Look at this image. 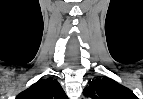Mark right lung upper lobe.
I'll return each mask as SVG.
<instances>
[{
  "instance_id": "right-lung-upper-lobe-1",
  "label": "right lung upper lobe",
  "mask_w": 143,
  "mask_h": 99,
  "mask_svg": "<svg viewBox=\"0 0 143 99\" xmlns=\"http://www.w3.org/2000/svg\"><path fill=\"white\" fill-rule=\"evenodd\" d=\"M16 99H67L60 83L54 78L39 80L17 95Z\"/></svg>"
}]
</instances>
